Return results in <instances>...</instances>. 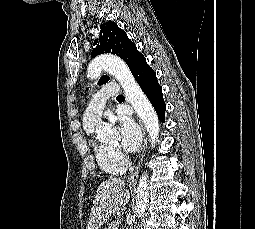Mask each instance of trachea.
I'll list each match as a JSON object with an SVG mask.
<instances>
[{
	"instance_id": "3493384b",
	"label": "trachea",
	"mask_w": 255,
	"mask_h": 229,
	"mask_svg": "<svg viewBox=\"0 0 255 229\" xmlns=\"http://www.w3.org/2000/svg\"><path fill=\"white\" fill-rule=\"evenodd\" d=\"M117 98H123V96H122V95H119V96H117Z\"/></svg>"
}]
</instances>
